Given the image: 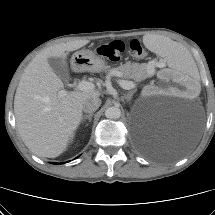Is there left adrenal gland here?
<instances>
[{
	"label": "left adrenal gland",
	"instance_id": "a2214340",
	"mask_svg": "<svg viewBox=\"0 0 215 215\" xmlns=\"http://www.w3.org/2000/svg\"><path fill=\"white\" fill-rule=\"evenodd\" d=\"M135 93V91L133 90V91H130V92H128V94L127 95H125V99L129 102L131 99H132V97H133V94Z\"/></svg>",
	"mask_w": 215,
	"mask_h": 215
}]
</instances>
